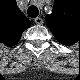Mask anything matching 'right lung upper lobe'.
<instances>
[{
    "label": "right lung upper lobe",
    "mask_w": 80,
    "mask_h": 80,
    "mask_svg": "<svg viewBox=\"0 0 80 80\" xmlns=\"http://www.w3.org/2000/svg\"><path fill=\"white\" fill-rule=\"evenodd\" d=\"M30 25V21L19 12L16 3L11 2L7 9H2L0 15L1 42L13 46L19 41L23 31Z\"/></svg>",
    "instance_id": "cb5924a9"
}]
</instances>
